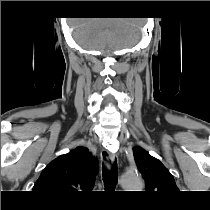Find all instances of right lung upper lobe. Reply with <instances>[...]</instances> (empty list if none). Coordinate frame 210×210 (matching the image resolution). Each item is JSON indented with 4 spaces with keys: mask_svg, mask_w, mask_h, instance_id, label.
I'll return each instance as SVG.
<instances>
[{
    "mask_svg": "<svg viewBox=\"0 0 210 210\" xmlns=\"http://www.w3.org/2000/svg\"><path fill=\"white\" fill-rule=\"evenodd\" d=\"M98 171V160L85 147H77L50 162L36 181L33 191L66 203L79 191L92 190Z\"/></svg>",
    "mask_w": 210,
    "mask_h": 210,
    "instance_id": "right-lung-upper-lobe-1",
    "label": "right lung upper lobe"
}]
</instances>
